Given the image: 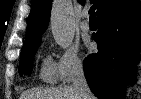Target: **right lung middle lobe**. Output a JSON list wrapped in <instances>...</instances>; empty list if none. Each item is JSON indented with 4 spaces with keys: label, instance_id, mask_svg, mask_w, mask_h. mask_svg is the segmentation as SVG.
I'll use <instances>...</instances> for the list:
<instances>
[{
    "label": "right lung middle lobe",
    "instance_id": "dd1d6c3e",
    "mask_svg": "<svg viewBox=\"0 0 141 99\" xmlns=\"http://www.w3.org/2000/svg\"><path fill=\"white\" fill-rule=\"evenodd\" d=\"M41 41L25 44L21 50L19 74H30L32 70V61Z\"/></svg>",
    "mask_w": 141,
    "mask_h": 99
}]
</instances>
